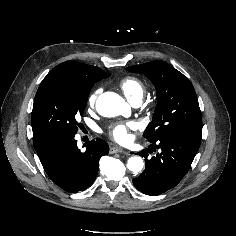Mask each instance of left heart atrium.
Masks as SVG:
<instances>
[{
  "label": "left heart atrium",
  "instance_id": "left-heart-atrium-1",
  "mask_svg": "<svg viewBox=\"0 0 236 236\" xmlns=\"http://www.w3.org/2000/svg\"><path fill=\"white\" fill-rule=\"evenodd\" d=\"M137 127L135 122L115 124L110 127L109 135L118 143H126L130 139L129 130Z\"/></svg>",
  "mask_w": 236,
  "mask_h": 236
}]
</instances>
